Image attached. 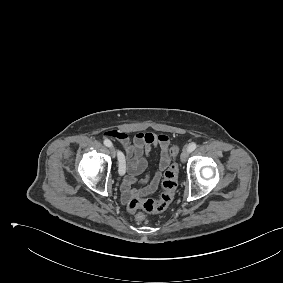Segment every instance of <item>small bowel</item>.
Segmentation results:
<instances>
[{
    "label": "small bowel",
    "mask_w": 283,
    "mask_h": 283,
    "mask_svg": "<svg viewBox=\"0 0 283 283\" xmlns=\"http://www.w3.org/2000/svg\"><path fill=\"white\" fill-rule=\"evenodd\" d=\"M104 136L117 140L125 149L127 176L121 185L123 200L127 202L133 197H144L154 192L158 187L162 173L171 162L170 140L168 136L165 134L139 132L130 140L126 133L117 130L107 131L104 133ZM153 146L160 148L157 171L152 177L146 175L145 179L141 181L142 186L134 189L132 186L138 182L137 176L148 165L147 156Z\"/></svg>",
    "instance_id": "1"
}]
</instances>
